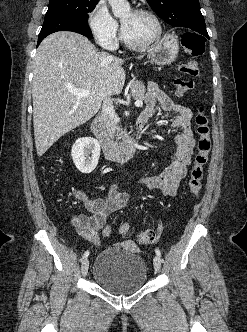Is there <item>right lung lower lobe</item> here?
Listing matches in <instances>:
<instances>
[{"label":"right lung lower lobe","instance_id":"right-lung-lower-lobe-1","mask_svg":"<svg viewBox=\"0 0 247 332\" xmlns=\"http://www.w3.org/2000/svg\"><path fill=\"white\" fill-rule=\"evenodd\" d=\"M57 31H73L89 38L93 37L87 22L75 18L56 17L44 19L37 44L39 45L46 36Z\"/></svg>","mask_w":247,"mask_h":332}]
</instances>
